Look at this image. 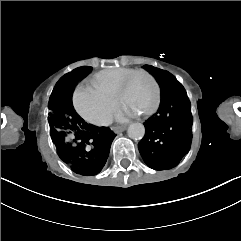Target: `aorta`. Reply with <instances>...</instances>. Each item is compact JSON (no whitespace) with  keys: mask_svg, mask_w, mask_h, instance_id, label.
Returning a JSON list of instances; mask_svg holds the SVG:
<instances>
[{"mask_svg":"<svg viewBox=\"0 0 241 241\" xmlns=\"http://www.w3.org/2000/svg\"><path fill=\"white\" fill-rule=\"evenodd\" d=\"M128 136L133 140H141L145 135V127L141 123H132L128 127Z\"/></svg>","mask_w":241,"mask_h":241,"instance_id":"1","label":"aorta"}]
</instances>
